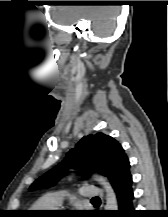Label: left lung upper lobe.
I'll return each mask as SVG.
<instances>
[{"label": "left lung upper lobe", "instance_id": "obj_1", "mask_svg": "<svg viewBox=\"0 0 168 217\" xmlns=\"http://www.w3.org/2000/svg\"><path fill=\"white\" fill-rule=\"evenodd\" d=\"M128 163V157L118 141L103 133L90 134L84 136L61 163L38 178L30 190L56 184L68 169L83 170L85 178L91 172L102 173L115 187L122 181Z\"/></svg>", "mask_w": 168, "mask_h": 217}]
</instances>
